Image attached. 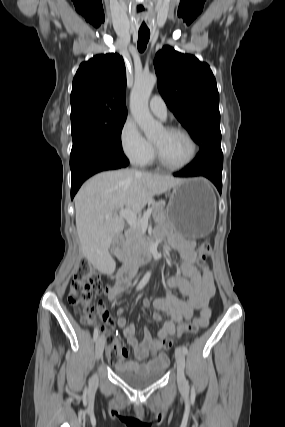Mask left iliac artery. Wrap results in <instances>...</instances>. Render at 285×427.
Instances as JSON below:
<instances>
[{
  "label": "left iliac artery",
  "mask_w": 285,
  "mask_h": 427,
  "mask_svg": "<svg viewBox=\"0 0 285 427\" xmlns=\"http://www.w3.org/2000/svg\"><path fill=\"white\" fill-rule=\"evenodd\" d=\"M182 350H183L184 354L188 353V349L185 345L182 346Z\"/></svg>",
  "instance_id": "1"
}]
</instances>
